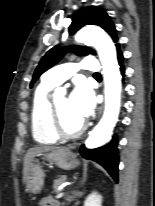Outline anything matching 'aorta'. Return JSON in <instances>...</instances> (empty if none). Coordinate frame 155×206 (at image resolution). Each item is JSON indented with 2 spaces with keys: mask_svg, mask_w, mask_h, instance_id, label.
<instances>
[{
  "mask_svg": "<svg viewBox=\"0 0 155 206\" xmlns=\"http://www.w3.org/2000/svg\"><path fill=\"white\" fill-rule=\"evenodd\" d=\"M75 39L79 43L96 48L103 68L105 83L104 114L85 142L87 148L93 149L110 140L118 121L121 103V75L115 46L103 30L96 27H85L76 34Z\"/></svg>",
  "mask_w": 155,
  "mask_h": 206,
  "instance_id": "aorta-1",
  "label": "aorta"
}]
</instances>
